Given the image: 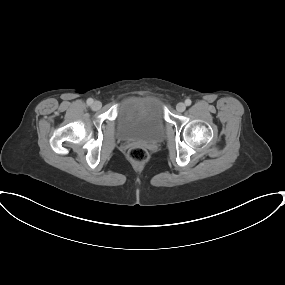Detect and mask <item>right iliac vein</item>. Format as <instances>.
Segmentation results:
<instances>
[{
  "label": "right iliac vein",
  "mask_w": 285,
  "mask_h": 285,
  "mask_svg": "<svg viewBox=\"0 0 285 285\" xmlns=\"http://www.w3.org/2000/svg\"><path fill=\"white\" fill-rule=\"evenodd\" d=\"M92 108L94 110H98L101 108V102L100 101H95L93 104H92Z\"/></svg>",
  "instance_id": "1"
}]
</instances>
